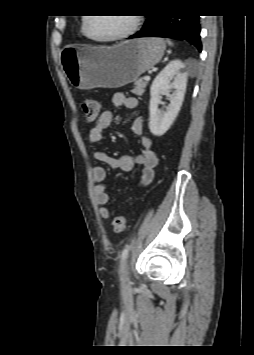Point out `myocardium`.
<instances>
[{
  "label": "myocardium",
  "instance_id": "obj_1",
  "mask_svg": "<svg viewBox=\"0 0 254 355\" xmlns=\"http://www.w3.org/2000/svg\"><path fill=\"white\" fill-rule=\"evenodd\" d=\"M91 20L92 17L85 18L83 31L87 38L95 42H115V41L126 39L136 32L141 22L139 15L136 14L135 16H132V23L130 27L127 30H125L123 33L111 37H95L90 32Z\"/></svg>",
  "mask_w": 254,
  "mask_h": 355
}]
</instances>
